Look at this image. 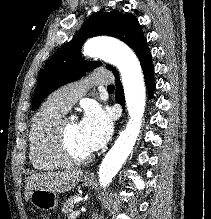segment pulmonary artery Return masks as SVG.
I'll list each match as a JSON object with an SVG mask.
<instances>
[{
	"instance_id": "e3ab8cb5",
	"label": "pulmonary artery",
	"mask_w": 211,
	"mask_h": 219,
	"mask_svg": "<svg viewBox=\"0 0 211 219\" xmlns=\"http://www.w3.org/2000/svg\"><path fill=\"white\" fill-rule=\"evenodd\" d=\"M112 81L111 73L101 70L84 77L81 81L67 84L57 90L50 99L69 109L85 92L86 88L95 84H108Z\"/></svg>"
}]
</instances>
